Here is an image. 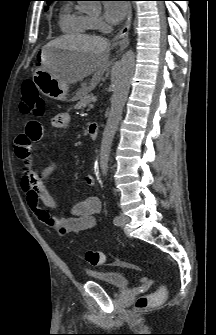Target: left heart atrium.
<instances>
[{
	"instance_id": "left-heart-atrium-1",
	"label": "left heart atrium",
	"mask_w": 216,
	"mask_h": 335,
	"mask_svg": "<svg viewBox=\"0 0 216 335\" xmlns=\"http://www.w3.org/2000/svg\"><path fill=\"white\" fill-rule=\"evenodd\" d=\"M128 11V4L122 1H106L104 4V16L113 25L123 20Z\"/></svg>"
}]
</instances>
